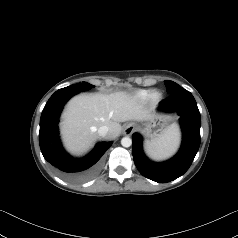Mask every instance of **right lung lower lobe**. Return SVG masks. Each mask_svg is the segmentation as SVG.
Listing matches in <instances>:
<instances>
[{"label": "right lung lower lobe", "mask_w": 238, "mask_h": 238, "mask_svg": "<svg viewBox=\"0 0 238 238\" xmlns=\"http://www.w3.org/2000/svg\"><path fill=\"white\" fill-rule=\"evenodd\" d=\"M81 91L85 90L76 84L56 91L46 103L40 119L39 144L44 158L72 182H81L93 176L99 159L112 145V142L98 143L87 156L78 159L63 149L58 136L59 116L64 104Z\"/></svg>", "instance_id": "right-lung-lower-lobe-1"}]
</instances>
